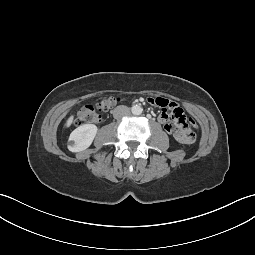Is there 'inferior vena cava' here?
Masks as SVG:
<instances>
[{
  "label": "inferior vena cava",
  "mask_w": 255,
  "mask_h": 255,
  "mask_svg": "<svg viewBox=\"0 0 255 255\" xmlns=\"http://www.w3.org/2000/svg\"><path fill=\"white\" fill-rule=\"evenodd\" d=\"M130 114V109L127 106L119 105L113 110V117L115 119L122 118Z\"/></svg>",
  "instance_id": "inferior-vena-cava-1"
}]
</instances>
